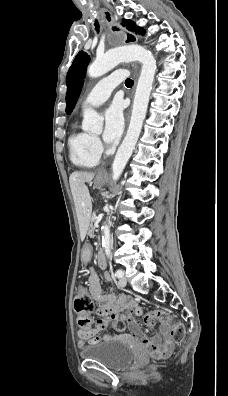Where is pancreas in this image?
<instances>
[{"mask_svg":"<svg viewBox=\"0 0 228 396\" xmlns=\"http://www.w3.org/2000/svg\"><path fill=\"white\" fill-rule=\"evenodd\" d=\"M91 218H92V222H91L90 229H89L88 233H89V236L92 238L93 234H94V230H95V226L93 225V222H94V219L98 218V215L92 214Z\"/></svg>","mask_w":228,"mask_h":396,"instance_id":"1","label":"pancreas"}]
</instances>
